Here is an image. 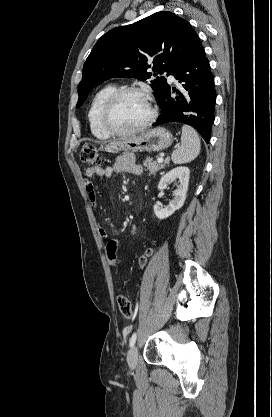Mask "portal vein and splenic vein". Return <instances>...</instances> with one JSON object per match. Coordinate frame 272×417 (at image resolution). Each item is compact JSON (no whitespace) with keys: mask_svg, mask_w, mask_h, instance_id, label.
Returning a JSON list of instances; mask_svg holds the SVG:
<instances>
[{"mask_svg":"<svg viewBox=\"0 0 272 417\" xmlns=\"http://www.w3.org/2000/svg\"><path fill=\"white\" fill-rule=\"evenodd\" d=\"M157 162H158V163H162V162H163V157H159V158L157 159Z\"/></svg>","mask_w":272,"mask_h":417,"instance_id":"1","label":"portal vein and splenic vein"}]
</instances>
